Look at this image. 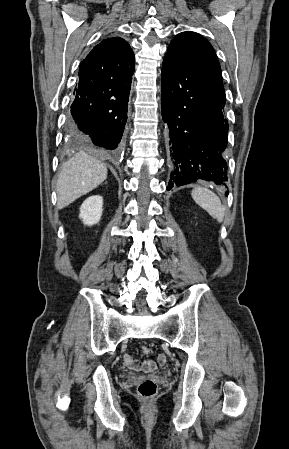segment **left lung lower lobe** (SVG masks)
<instances>
[{"label":"left lung lower lobe","mask_w":289,"mask_h":449,"mask_svg":"<svg viewBox=\"0 0 289 449\" xmlns=\"http://www.w3.org/2000/svg\"><path fill=\"white\" fill-rule=\"evenodd\" d=\"M161 87L172 161L167 190L196 180L224 185L228 181V122L223 115L226 96L222 78L196 59L168 52Z\"/></svg>","instance_id":"0a47b994"}]
</instances>
